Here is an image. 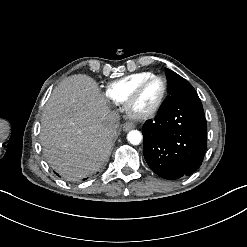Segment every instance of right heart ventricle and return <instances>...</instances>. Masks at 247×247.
I'll use <instances>...</instances> for the list:
<instances>
[{"label":"right heart ventricle","mask_w":247,"mask_h":247,"mask_svg":"<svg viewBox=\"0 0 247 247\" xmlns=\"http://www.w3.org/2000/svg\"><path fill=\"white\" fill-rule=\"evenodd\" d=\"M151 72H141L120 78L110 83L106 88V97L116 104H122L131 93L133 87L142 79L152 75Z\"/></svg>","instance_id":"e07e8e85"}]
</instances>
